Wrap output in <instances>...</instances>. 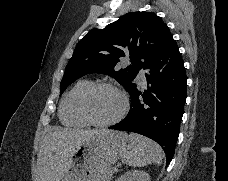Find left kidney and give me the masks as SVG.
Returning a JSON list of instances; mask_svg holds the SVG:
<instances>
[{
  "label": "left kidney",
  "instance_id": "5707ae66",
  "mask_svg": "<svg viewBox=\"0 0 228 181\" xmlns=\"http://www.w3.org/2000/svg\"><path fill=\"white\" fill-rule=\"evenodd\" d=\"M118 181H150V177L145 171H128L125 175H121Z\"/></svg>",
  "mask_w": 228,
  "mask_h": 181
}]
</instances>
